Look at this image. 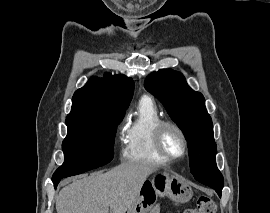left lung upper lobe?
I'll list each match as a JSON object with an SVG mask.
<instances>
[{"instance_id": "5c2ea615", "label": "left lung upper lobe", "mask_w": 270, "mask_h": 213, "mask_svg": "<svg viewBox=\"0 0 270 213\" xmlns=\"http://www.w3.org/2000/svg\"><path fill=\"white\" fill-rule=\"evenodd\" d=\"M144 86L162 102L172 120L186 134L190 171L195 179L221 195L223 176L216 166L217 146L203 95L192 90L181 73L171 69L151 73Z\"/></svg>"}]
</instances>
